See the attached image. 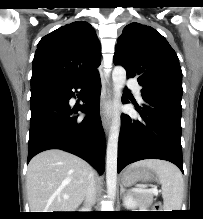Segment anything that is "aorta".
Wrapping results in <instances>:
<instances>
[{
  "label": "aorta",
  "instance_id": "762f6f07",
  "mask_svg": "<svg viewBox=\"0 0 203 219\" xmlns=\"http://www.w3.org/2000/svg\"><path fill=\"white\" fill-rule=\"evenodd\" d=\"M112 79L114 86V104L115 107L118 108L126 81L125 69L122 66H116L112 72ZM119 127L120 113L116 110L107 144L106 182L107 191L110 197H114L116 192Z\"/></svg>",
  "mask_w": 203,
  "mask_h": 219
}]
</instances>
